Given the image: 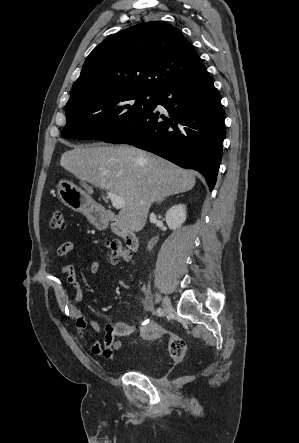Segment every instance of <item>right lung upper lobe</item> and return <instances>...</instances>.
I'll return each mask as SVG.
<instances>
[{
    "mask_svg": "<svg viewBox=\"0 0 299 443\" xmlns=\"http://www.w3.org/2000/svg\"><path fill=\"white\" fill-rule=\"evenodd\" d=\"M205 69L176 27L141 23L100 43L87 57L67 104L106 93L159 89Z\"/></svg>",
    "mask_w": 299,
    "mask_h": 443,
    "instance_id": "right-lung-upper-lobe-1",
    "label": "right lung upper lobe"
}]
</instances>
